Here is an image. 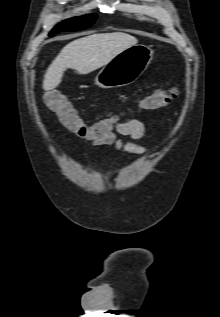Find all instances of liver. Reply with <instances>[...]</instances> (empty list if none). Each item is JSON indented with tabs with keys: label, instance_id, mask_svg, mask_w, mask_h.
Returning <instances> with one entry per match:
<instances>
[{
	"label": "liver",
	"instance_id": "6515ba94",
	"mask_svg": "<svg viewBox=\"0 0 220 317\" xmlns=\"http://www.w3.org/2000/svg\"><path fill=\"white\" fill-rule=\"evenodd\" d=\"M137 42L135 37L121 32L99 33L76 39L68 43L49 65L44 75L43 89L56 88L67 68L82 75L88 74Z\"/></svg>",
	"mask_w": 220,
	"mask_h": 317
}]
</instances>
